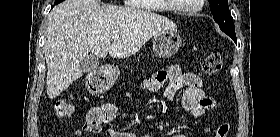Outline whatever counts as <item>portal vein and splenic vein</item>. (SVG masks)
Here are the masks:
<instances>
[{"mask_svg":"<svg viewBox=\"0 0 280 137\" xmlns=\"http://www.w3.org/2000/svg\"><path fill=\"white\" fill-rule=\"evenodd\" d=\"M112 39H113V40L119 39V35H117V34H116V35H113V36H112Z\"/></svg>","mask_w":280,"mask_h":137,"instance_id":"portal-vein-and-splenic-vein-1","label":"portal vein and splenic vein"}]
</instances>
